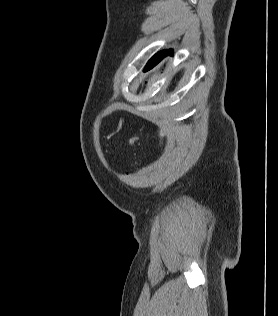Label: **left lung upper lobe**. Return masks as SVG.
<instances>
[{
  "mask_svg": "<svg viewBox=\"0 0 278 316\" xmlns=\"http://www.w3.org/2000/svg\"><path fill=\"white\" fill-rule=\"evenodd\" d=\"M163 51L164 50L158 52L148 61L147 65L144 68V71L150 70L151 68H153L155 65L159 63Z\"/></svg>",
  "mask_w": 278,
  "mask_h": 316,
  "instance_id": "obj_1",
  "label": "left lung upper lobe"
}]
</instances>
